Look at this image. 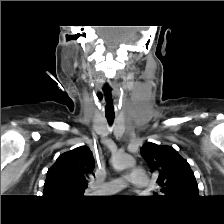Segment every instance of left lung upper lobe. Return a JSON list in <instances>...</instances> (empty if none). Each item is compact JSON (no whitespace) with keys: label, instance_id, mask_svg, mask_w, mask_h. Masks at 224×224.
I'll return each instance as SVG.
<instances>
[{"label":"left lung upper lobe","instance_id":"5c2ea615","mask_svg":"<svg viewBox=\"0 0 224 224\" xmlns=\"http://www.w3.org/2000/svg\"><path fill=\"white\" fill-rule=\"evenodd\" d=\"M140 153L153 172L165 197L172 199L198 197V185L188 162L170 146L146 142Z\"/></svg>","mask_w":224,"mask_h":224}]
</instances>
